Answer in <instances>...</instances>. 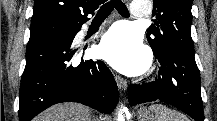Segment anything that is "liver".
Here are the masks:
<instances>
[{
  "mask_svg": "<svg viewBox=\"0 0 217 121\" xmlns=\"http://www.w3.org/2000/svg\"><path fill=\"white\" fill-rule=\"evenodd\" d=\"M34 121H91V110L78 103L56 104L35 117Z\"/></svg>",
  "mask_w": 217,
  "mask_h": 121,
  "instance_id": "liver-1",
  "label": "liver"
}]
</instances>
